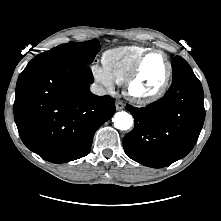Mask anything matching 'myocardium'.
<instances>
[{"label": "myocardium", "instance_id": "obj_1", "mask_svg": "<svg viewBox=\"0 0 221 221\" xmlns=\"http://www.w3.org/2000/svg\"><path fill=\"white\" fill-rule=\"evenodd\" d=\"M154 53H159V54L163 55L166 60L167 72H166L165 78H164L162 84L160 85V87L156 91L149 93V94L137 93L134 90V85L139 77L142 65H143L144 61L146 60V58ZM172 73H173V64H172V61L169 58L168 54L160 49H149L148 51L144 52L137 59V61L133 65L132 69L130 70V72L124 82L126 95L131 100H133L134 102H136L138 104H149V103L155 102L166 93V91L169 87V84H170Z\"/></svg>", "mask_w": 221, "mask_h": 221}]
</instances>
